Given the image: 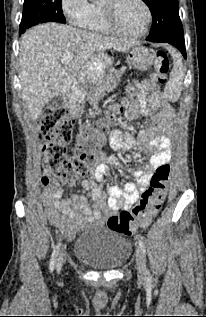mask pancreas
I'll return each mask as SVG.
<instances>
[{
    "instance_id": "1",
    "label": "pancreas",
    "mask_w": 206,
    "mask_h": 317,
    "mask_svg": "<svg viewBox=\"0 0 206 317\" xmlns=\"http://www.w3.org/2000/svg\"><path fill=\"white\" fill-rule=\"evenodd\" d=\"M124 72V67L121 69H114L110 75H105L97 86L89 87V91H86L84 88L81 91V94L87 97L86 101L93 103L96 99L104 96L105 93H114L120 82V77ZM71 105L73 107H77L79 112L83 113V106L78 105L76 102H73Z\"/></svg>"
}]
</instances>
